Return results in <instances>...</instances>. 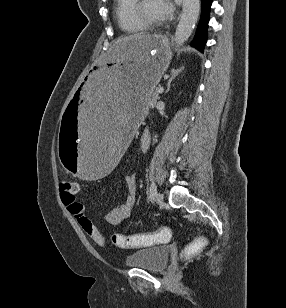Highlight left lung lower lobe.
<instances>
[{
  "instance_id": "left-lung-lower-lobe-1",
  "label": "left lung lower lobe",
  "mask_w": 286,
  "mask_h": 308,
  "mask_svg": "<svg viewBox=\"0 0 286 308\" xmlns=\"http://www.w3.org/2000/svg\"><path fill=\"white\" fill-rule=\"evenodd\" d=\"M212 0H201L202 11L200 21L197 27L196 35L191 43V46L203 51L204 45L207 40V27L209 21V12Z\"/></svg>"
}]
</instances>
